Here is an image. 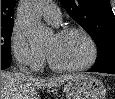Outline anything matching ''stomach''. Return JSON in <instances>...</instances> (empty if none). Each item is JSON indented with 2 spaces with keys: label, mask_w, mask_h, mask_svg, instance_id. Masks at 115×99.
Segmentation results:
<instances>
[{
  "label": "stomach",
  "mask_w": 115,
  "mask_h": 99,
  "mask_svg": "<svg viewBox=\"0 0 115 99\" xmlns=\"http://www.w3.org/2000/svg\"><path fill=\"white\" fill-rule=\"evenodd\" d=\"M67 99H105L106 89L97 78L76 75L65 85Z\"/></svg>",
  "instance_id": "0dacf381"
}]
</instances>
